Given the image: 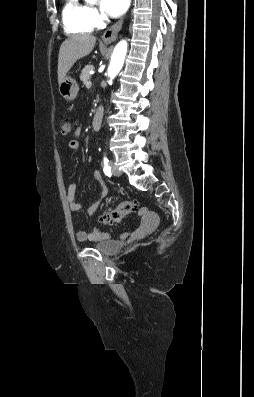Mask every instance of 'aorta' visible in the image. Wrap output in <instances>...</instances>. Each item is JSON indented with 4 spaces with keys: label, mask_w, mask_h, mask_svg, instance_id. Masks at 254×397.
Returning a JSON list of instances; mask_svg holds the SVG:
<instances>
[{
    "label": "aorta",
    "mask_w": 254,
    "mask_h": 397,
    "mask_svg": "<svg viewBox=\"0 0 254 397\" xmlns=\"http://www.w3.org/2000/svg\"><path fill=\"white\" fill-rule=\"evenodd\" d=\"M86 1L90 3H94L97 0H86ZM126 53H127V42L126 41L119 42L113 51L111 62L108 67V77L110 79H113L121 70Z\"/></svg>",
    "instance_id": "obj_1"
}]
</instances>
